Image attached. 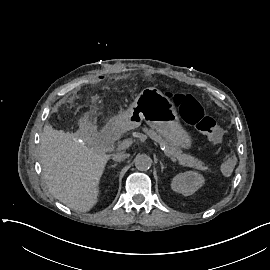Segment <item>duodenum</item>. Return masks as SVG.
<instances>
[{"instance_id":"1","label":"duodenum","mask_w":270,"mask_h":270,"mask_svg":"<svg viewBox=\"0 0 270 270\" xmlns=\"http://www.w3.org/2000/svg\"><path fill=\"white\" fill-rule=\"evenodd\" d=\"M123 127L124 123L122 120H112L109 122L102 136L104 144L109 146L115 143L119 139Z\"/></svg>"}]
</instances>
